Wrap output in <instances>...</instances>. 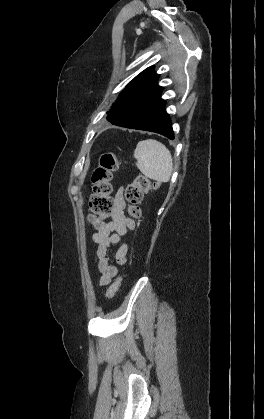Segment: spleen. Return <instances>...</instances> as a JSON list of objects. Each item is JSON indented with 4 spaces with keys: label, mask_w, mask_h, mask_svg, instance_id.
I'll return each mask as SVG.
<instances>
[{
    "label": "spleen",
    "mask_w": 264,
    "mask_h": 419,
    "mask_svg": "<svg viewBox=\"0 0 264 419\" xmlns=\"http://www.w3.org/2000/svg\"><path fill=\"white\" fill-rule=\"evenodd\" d=\"M136 166L142 174L157 182L170 180L173 162L170 151L157 140L147 139L138 142L134 151Z\"/></svg>",
    "instance_id": "3e777b00"
}]
</instances>
